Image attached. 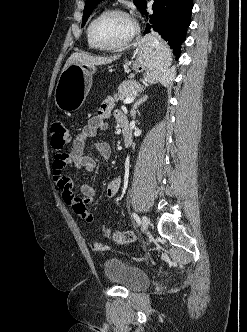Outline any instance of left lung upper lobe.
<instances>
[{
	"label": "left lung upper lobe",
	"instance_id": "left-lung-upper-lobe-1",
	"mask_svg": "<svg viewBox=\"0 0 247 332\" xmlns=\"http://www.w3.org/2000/svg\"><path fill=\"white\" fill-rule=\"evenodd\" d=\"M103 0H86L84 12H83V20H82V27L85 25L86 21L88 20L89 16L91 15L94 8ZM135 6L142 10L146 4V0H134Z\"/></svg>",
	"mask_w": 247,
	"mask_h": 332
}]
</instances>
